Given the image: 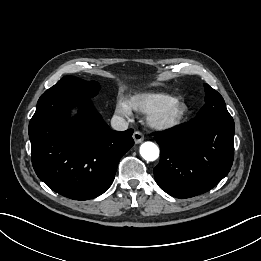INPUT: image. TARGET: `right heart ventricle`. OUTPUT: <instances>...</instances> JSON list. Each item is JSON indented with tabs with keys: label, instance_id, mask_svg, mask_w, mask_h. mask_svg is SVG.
I'll list each match as a JSON object with an SVG mask.
<instances>
[{
	"label": "right heart ventricle",
	"instance_id": "obj_1",
	"mask_svg": "<svg viewBox=\"0 0 261 261\" xmlns=\"http://www.w3.org/2000/svg\"><path fill=\"white\" fill-rule=\"evenodd\" d=\"M172 97L165 93H141L133 96L129 104L130 106L144 114H151L158 110Z\"/></svg>",
	"mask_w": 261,
	"mask_h": 261
}]
</instances>
